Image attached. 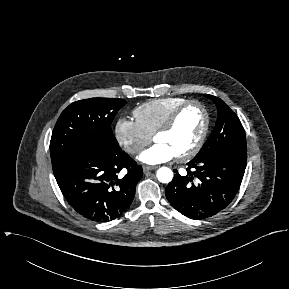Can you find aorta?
Masks as SVG:
<instances>
[{"label":"aorta","mask_w":289,"mask_h":289,"mask_svg":"<svg viewBox=\"0 0 289 289\" xmlns=\"http://www.w3.org/2000/svg\"><path fill=\"white\" fill-rule=\"evenodd\" d=\"M157 179L162 183H169L173 179V172L168 167H161L156 173Z\"/></svg>","instance_id":"aorta-1"}]
</instances>
